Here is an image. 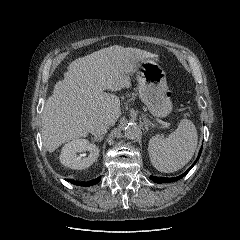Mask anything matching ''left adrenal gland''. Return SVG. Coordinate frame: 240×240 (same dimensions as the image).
<instances>
[{
	"label": "left adrenal gland",
	"mask_w": 240,
	"mask_h": 240,
	"mask_svg": "<svg viewBox=\"0 0 240 240\" xmlns=\"http://www.w3.org/2000/svg\"><path fill=\"white\" fill-rule=\"evenodd\" d=\"M142 118L144 121L145 130L147 132L149 130V126L153 127V124L146 118L145 115H143Z\"/></svg>",
	"instance_id": "left-adrenal-gland-1"
}]
</instances>
